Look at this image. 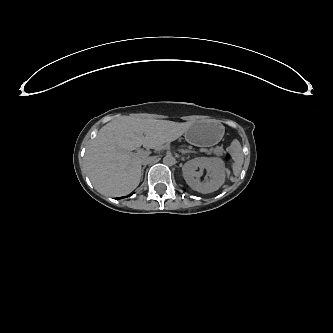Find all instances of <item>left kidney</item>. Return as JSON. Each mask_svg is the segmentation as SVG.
Listing matches in <instances>:
<instances>
[{"instance_id":"left-kidney-1","label":"left kidney","mask_w":333,"mask_h":333,"mask_svg":"<svg viewBox=\"0 0 333 333\" xmlns=\"http://www.w3.org/2000/svg\"><path fill=\"white\" fill-rule=\"evenodd\" d=\"M204 170L207 175L205 180L201 181ZM182 171L188 186L200 193L217 191L224 184L226 177L225 163L218 157H196L187 161Z\"/></svg>"}]
</instances>
